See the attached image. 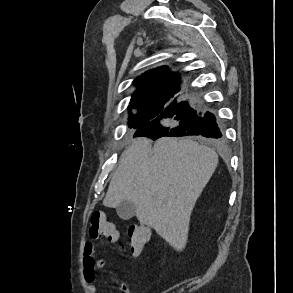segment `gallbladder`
Returning a JSON list of instances; mask_svg holds the SVG:
<instances>
[{"instance_id": "obj_1", "label": "gallbladder", "mask_w": 293, "mask_h": 293, "mask_svg": "<svg viewBox=\"0 0 293 293\" xmlns=\"http://www.w3.org/2000/svg\"><path fill=\"white\" fill-rule=\"evenodd\" d=\"M118 216L123 220L131 219L136 212V207L131 201H122L117 207Z\"/></svg>"}]
</instances>
